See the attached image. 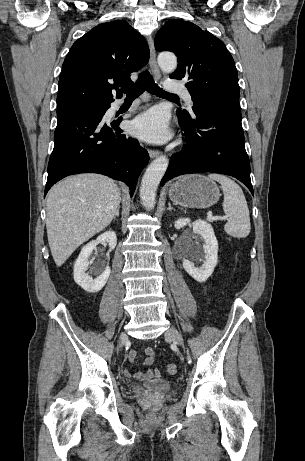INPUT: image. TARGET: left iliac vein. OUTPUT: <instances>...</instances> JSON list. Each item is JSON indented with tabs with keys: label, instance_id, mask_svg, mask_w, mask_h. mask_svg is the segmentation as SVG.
Returning <instances> with one entry per match:
<instances>
[{
	"label": "left iliac vein",
	"instance_id": "left-iliac-vein-1",
	"mask_svg": "<svg viewBox=\"0 0 305 461\" xmlns=\"http://www.w3.org/2000/svg\"><path fill=\"white\" fill-rule=\"evenodd\" d=\"M165 336L170 338L174 343L178 345L183 344L182 336L174 326H171L167 329Z\"/></svg>",
	"mask_w": 305,
	"mask_h": 461
}]
</instances>
